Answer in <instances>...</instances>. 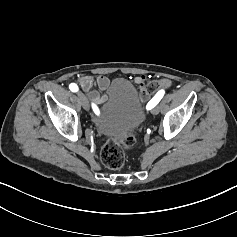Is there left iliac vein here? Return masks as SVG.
<instances>
[{"label":"left iliac vein","mask_w":237,"mask_h":237,"mask_svg":"<svg viewBox=\"0 0 237 237\" xmlns=\"http://www.w3.org/2000/svg\"><path fill=\"white\" fill-rule=\"evenodd\" d=\"M159 111H160V107H159V106H156V107H154V108L152 109V113H153L154 115H157V114L159 113Z\"/></svg>","instance_id":"4c4485c4"}]
</instances>
